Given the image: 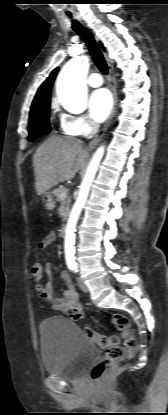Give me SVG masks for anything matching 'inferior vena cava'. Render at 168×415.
<instances>
[{"label":"inferior vena cava","instance_id":"602c4592","mask_svg":"<svg viewBox=\"0 0 168 415\" xmlns=\"http://www.w3.org/2000/svg\"><path fill=\"white\" fill-rule=\"evenodd\" d=\"M98 129H99V125L96 124V123H92L91 124V133L89 134L88 139L92 138L94 136V134L97 133Z\"/></svg>","mask_w":168,"mask_h":415}]
</instances>
